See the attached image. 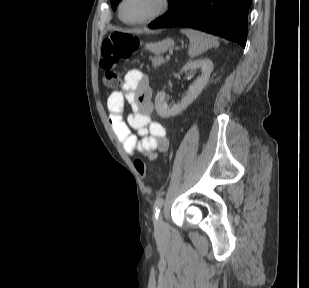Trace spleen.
<instances>
[{
  "mask_svg": "<svg viewBox=\"0 0 309 288\" xmlns=\"http://www.w3.org/2000/svg\"><path fill=\"white\" fill-rule=\"evenodd\" d=\"M181 32L189 38L188 55L190 58H194L212 47L219 46L218 39L207 33L194 29H182Z\"/></svg>",
  "mask_w": 309,
  "mask_h": 288,
  "instance_id": "1",
  "label": "spleen"
}]
</instances>
